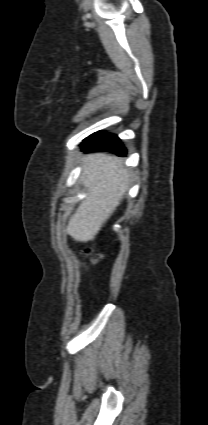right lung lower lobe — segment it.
Segmentation results:
<instances>
[{
    "label": "right lung lower lobe",
    "mask_w": 208,
    "mask_h": 425,
    "mask_svg": "<svg viewBox=\"0 0 208 425\" xmlns=\"http://www.w3.org/2000/svg\"><path fill=\"white\" fill-rule=\"evenodd\" d=\"M81 146L83 152H115L120 156L126 155V149L120 139L104 132H97L87 137Z\"/></svg>",
    "instance_id": "right-lung-lower-lobe-1"
}]
</instances>
